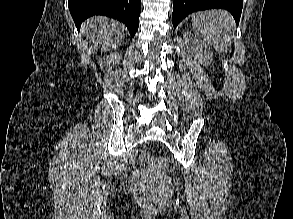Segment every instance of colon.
<instances>
[{
	"instance_id": "1",
	"label": "colon",
	"mask_w": 293,
	"mask_h": 219,
	"mask_svg": "<svg viewBox=\"0 0 293 219\" xmlns=\"http://www.w3.org/2000/svg\"><path fill=\"white\" fill-rule=\"evenodd\" d=\"M141 162L158 168H163L167 165V160L165 158L152 156L148 152H143L141 154ZM133 196L137 201L143 204H149L152 192L148 187L138 184L134 187Z\"/></svg>"
}]
</instances>
